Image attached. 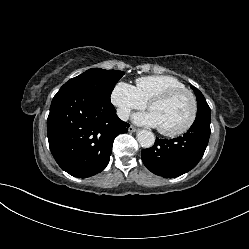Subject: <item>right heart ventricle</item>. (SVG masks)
I'll list each match as a JSON object with an SVG mask.
<instances>
[{
    "mask_svg": "<svg viewBox=\"0 0 249 249\" xmlns=\"http://www.w3.org/2000/svg\"><path fill=\"white\" fill-rule=\"evenodd\" d=\"M135 88L141 98L148 103L157 95L169 90L185 88V85L170 75H149L136 79Z\"/></svg>",
    "mask_w": 249,
    "mask_h": 249,
    "instance_id": "right-heart-ventricle-1",
    "label": "right heart ventricle"
}]
</instances>
